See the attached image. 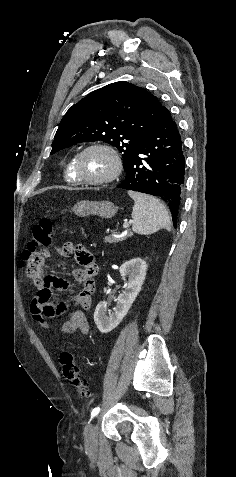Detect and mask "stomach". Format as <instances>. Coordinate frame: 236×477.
Here are the masks:
<instances>
[{
  "instance_id": "1",
  "label": "stomach",
  "mask_w": 236,
  "mask_h": 477,
  "mask_svg": "<svg viewBox=\"0 0 236 477\" xmlns=\"http://www.w3.org/2000/svg\"><path fill=\"white\" fill-rule=\"evenodd\" d=\"M117 210L118 207L112 202L88 200L77 202L72 208V212H74V214L77 216L85 217L93 214L102 218H112L116 214Z\"/></svg>"
}]
</instances>
